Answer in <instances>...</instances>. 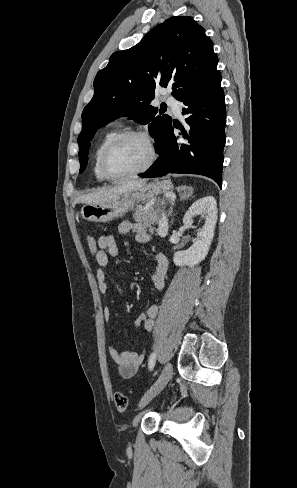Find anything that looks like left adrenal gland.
Segmentation results:
<instances>
[{"label":"left adrenal gland","mask_w":297,"mask_h":488,"mask_svg":"<svg viewBox=\"0 0 297 488\" xmlns=\"http://www.w3.org/2000/svg\"><path fill=\"white\" fill-rule=\"evenodd\" d=\"M181 190H183V188H181ZM178 191H180V188H178ZM188 191H189L190 194L192 193V189H189ZM182 199H183V196H181V200Z\"/></svg>","instance_id":"1"}]
</instances>
